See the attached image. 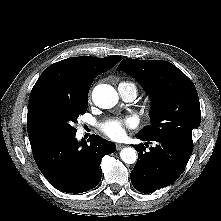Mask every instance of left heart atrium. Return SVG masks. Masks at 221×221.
Masks as SVG:
<instances>
[{"mask_svg":"<svg viewBox=\"0 0 221 221\" xmlns=\"http://www.w3.org/2000/svg\"><path fill=\"white\" fill-rule=\"evenodd\" d=\"M136 126V121L133 117H126L124 119H109L102 126V132L109 138L119 140L126 134V128H133Z\"/></svg>","mask_w":221,"mask_h":221,"instance_id":"39dd6f15","label":"left heart atrium"}]
</instances>
